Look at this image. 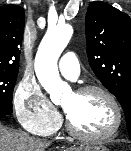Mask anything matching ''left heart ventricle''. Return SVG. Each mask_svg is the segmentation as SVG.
<instances>
[{"label":"left heart ventricle","mask_w":131,"mask_h":151,"mask_svg":"<svg viewBox=\"0 0 131 151\" xmlns=\"http://www.w3.org/2000/svg\"><path fill=\"white\" fill-rule=\"evenodd\" d=\"M74 126L88 134H104L114 125L115 113L105 96L99 93L68 94L62 102Z\"/></svg>","instance_id":"obj_1"}]
</instances>
